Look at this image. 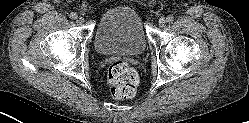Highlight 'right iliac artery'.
<instances>
[{"label": "right iliac artery", "mask_w": 249, "mask_h": 123, "mask_svg": "<svg viewBox=\"0 0 249 123\" xmlns=\"http://www.w3.org/2000/svg\"><path fill=\"white\" fill-rule=\"evenodd\" d=\"M70 18L73 19V20L76 19V18H77L76 13H71V14H70Z\"/></svg>", "instance_id": "right-iliac-artery-1"}]
</instances>
